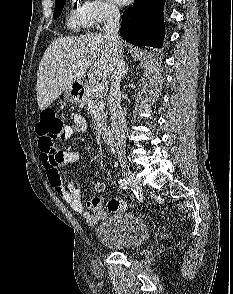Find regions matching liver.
I'll return each instance as SVG.
<instances>
[{"mask_svg":"<svg viewBox=\"0 0 233 294\" xmlns=\"http://www.w3.org/2000/svg\"><path fill=\"white\" fill-rule=\"evenodd\" d=\"M115 56L112 41L101 33L56 38L46 49L37 71L40 110L51 105L88 69L91 79H106L111 75Z\"/></svg>","mask_w":233,"mask_h":294,"instance_id":"1","label":"liver"}]
</instances>
